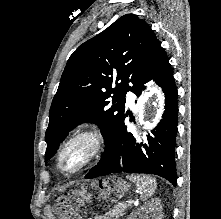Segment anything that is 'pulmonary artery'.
I'll list each match as a JSON object with an SVG mask.
<instances>
[{
  "label": "pulmonary artery",
  "mask_w": 221,
  "mask_h": 219,
  "mask_svg": "<svg viewBox=\"0 0 221 219\" xmlns=\"http://www.w3.org/2000/svg\"><path fill=\"white\" fill-rule=\"evenodd\" d=\"M127 102L130 106L134 105V96L130 92L127 94Z\"/></svg>",
  "instance_id": "1"
}]
</instances>
